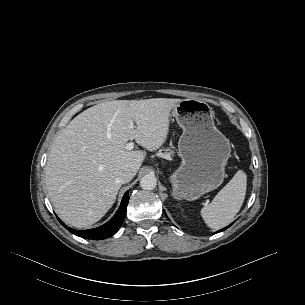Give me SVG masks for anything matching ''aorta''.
<instances>
[{
    "instance_id": "obj_1",
    "label": "aorta",
    "mask_w": 305,
    "mask_h": 305,
    "mask_svg": "<svg viewBox=\"0 0 305 305\" xmlns=\"http://www.w3.org/2000/svg\"><path fill=\"white\" fill-rule=\"evenodd\" d=\"M157 185V179L152 174L144 175L140 180V187L144 190H153Z\"/></svg>"
}]
</instances>
